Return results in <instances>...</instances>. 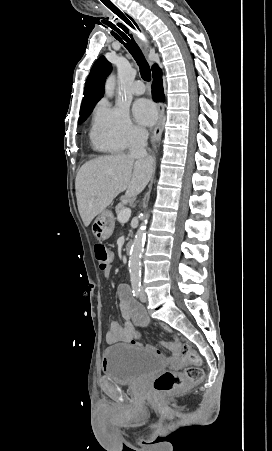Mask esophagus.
Instances as JSON below:
<instances>
[{"label": "esophagus", "mask_w": 272, "mask_h": 451, "mask_svg": "<svg viewBox=\"0 0 272 451\" xmlns=\"http://www.w3.org/2000/svg\"><path fill=\"white\" fill-rule=\"evenodd\" d=\"M134 20V23H133V25L131 26V31L144 43V44H146V46L148 45V40H147V38L145 37V35H144V33H143V31H142V29H141V27H140V25H139V23L135 20V19H133ZM135 25V26H134ZM157 109H158V112H159V118H158V121H157V123H156V125H155V127H154V129H153V132H152V138H151V142H152V144L153 145H155L159 140H160V137H161V131H162V119H163V116H164V106H163V104L161 103V102H159L158 104H157Z\"/></svg>", "instance_id": "1"}]
</instances>
